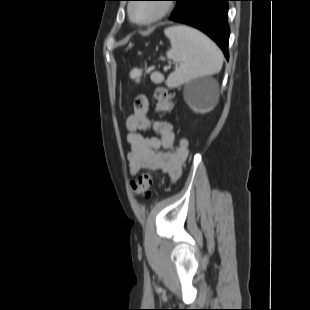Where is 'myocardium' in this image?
<instances>
[{"instance_id": "f54148a6", "label": "myocardium", "mask_w": 310, "mask_h": 310, "mask_svg": "<svg viewBox=\"0 0 310 310\" xmlns=\"http://www.w3.org/2000/svg\"><path fill=\"white\" fill-rule=\"evenodd\" d=\"M137 4H130L129 7H128V15H129V18L130 20L137 24V25H151V24H154L158 21H160L161 19H163L171 10L170 6L166 3V2H159L157 3L158 5V11L155 15L147 18V19H143V20H139V19H136L134 17V14H133V10H134V7L136 6Z\"/></svg>"}]
</instances>
